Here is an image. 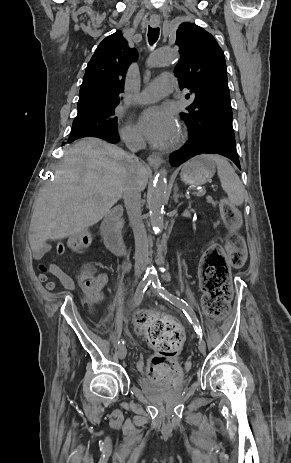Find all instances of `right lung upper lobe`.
<instances>
[{
	"label": "right lung upper lobe",
	"mask_w": 291,
	"mask_h": 463,
	"mask_svg": "<svg viewBox=\"0 0 291 463\" xmlns=\"http://www.w3.org/2000/svg\"><path fill=\"white\" fill-rule=\"evenodd\" d=\"M121 31L106 37L89 61L79 92L78 116L117 105L130 64L137 60Z\"/></svg>",
	"instance_id": "right-lung-upper-lobe-1"
}]
</instances>
